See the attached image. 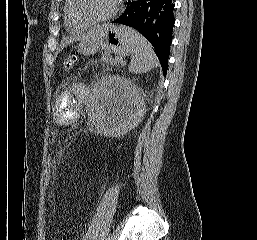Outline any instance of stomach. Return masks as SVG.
Listing matches in <instances>:
<instances>
[{
  "instance_id": "obj_1",
  "label": "stomach",
  "mask_w": 257,
  "mask_h": 240,
  "mask_svg": "<svg viewBox=\"0 0 257 240\" xmlns=\"http://www.w3.org/2000/svg\"><path fill=\"white\" fill-rule=\"evenodd\" d=\"M99 49H105L119 56L129 54L128 36L120 26L105 24L97 34L81 41L78 45V52L83 56L94 55Z\"/></svg>"
}]
</instances>
